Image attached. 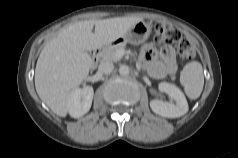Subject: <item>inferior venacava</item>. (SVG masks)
I'll use <instances>...</instances> for the list:
<instances>
[{
	"mask_svg": "<svg viewBox=\"0 0 238 158\" xmlns=\"http://www.w3.org/2000/svg\"><path fill=\"white\" fill-rule=\"evenodd\" d=\"M114 69V65L109 62H103L98 67V72L101 74H110Z\"/></svg>",
	"mask_w": 238,
	"mask_h": 158,
	"instance_id": "obj_1",
	"label": "inferior vena cava"
}]
</instances>
